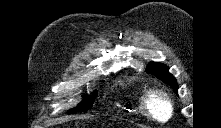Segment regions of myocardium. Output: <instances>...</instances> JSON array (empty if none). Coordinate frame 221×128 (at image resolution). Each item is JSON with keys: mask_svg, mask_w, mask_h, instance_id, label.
<instances>
[{"mask_svg": "<svg viewBox=\"0 0 221 128\" xmlns=\"http://www.w3.org/2000/svg\"><path fill=\"white\" fill-rule=\"evenodd\" d=\"M142 105L145 114L149 118L158 122L168 121L174 113V107L169 95L165 91L160 89H150L149 91H147L146 94L143 96ZM157 105H162L165 108V117H158L156 112Z\"/></svg>", "mask_w": 221, "mask_h": 128, "instance_id": "1", "label": "myocardium"}]
</instances>
